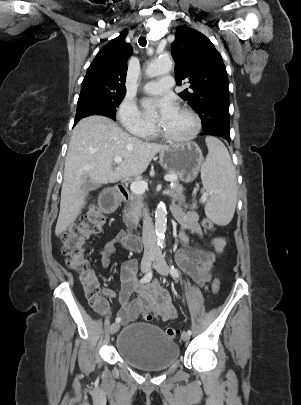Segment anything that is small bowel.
Instances as JSON below:
<instances>
[{"label":"small bowel","mask_w":301,"mask_h":405,"mask_svg":"<svg viewBox=\"0 0 301 405\" xmlns=\"http://www.w3.org/2000/svg\"><path fill=\"white\" fill-rule=\"evenodd\" d=\"M172 213L180 224L179 240L182 247L177 254V262L181 269L187 273L199 286H204L212 278V272L216 256L223 252L226 246L224 237H214L211 240L213 251H205L195 248L186 234L190 231L198 236L203 235V229L199 224L198 213L193 209L185 210L181 205L174 204ZM124 230L108 240L99 252L102 267L108 268L111 256L115 253L117 245L123 244ZM136 262L128 260L122 263L120 276L122 281L118 293L111 289H104L106 297L116 298L119 303L118 317L123 324L136 320L139 315L152 313L161 321H169L176 318L178 310L170 293L164 289L157 280L145 286L135 284Z\"/></svg>","instance_id":"1"}]
</instances>
